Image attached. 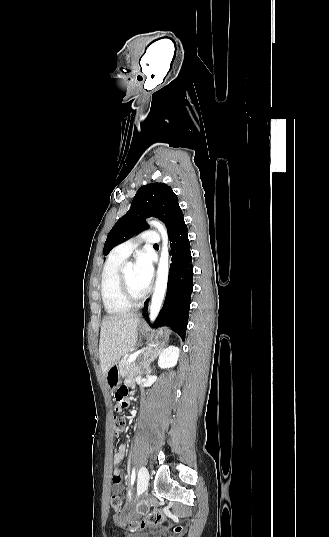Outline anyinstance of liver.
<instances>
[{
	"label": "liver",
	"instance_id": "obj_1",
	"mask_svg": "<svg viewBox=\"0 0 329 537\" xmlns=\"http://www.w3.org/2000/svg\"><path fill=\"white\" fill-rule=\"evenodd\" d=\"M139 321L135 314L110 316L102 320L99 359L103 375L135 346Z\"/></svg>",
	"mask_w": 329,
	"mask_h": 537
}]
</instances>
